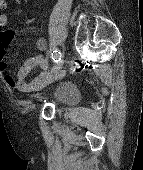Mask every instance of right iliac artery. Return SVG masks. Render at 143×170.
<instances>
[{
	"mask_svg": "<svg viewBox=\"0 0 143 170\" xmlns=\"http://www.w3.org/2000/svg\"><path fill=\"white\" fill-rule=\"evenodd\" d=\"M51 57H52V60H53L54 62H59V61H61L62 54H61L60 51L54 50V51L51 53Z\"/></svg>",
	"mask_w": 143,
	"mask_h": 170,
	"instance_id": "obj_1",
	"label": "right iliac artery"
}]
</instances>
